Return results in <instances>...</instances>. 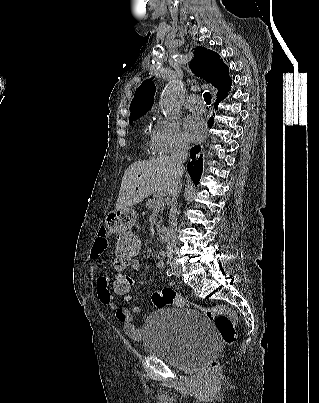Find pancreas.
I'll use <instances>...</instances> for the list:
<instances>
[{"mask_svg": "<svg viewBox=\"0 0 319 403\" xmlns=\"http://www.w3.org/2000/svg\"><path fill=\"white\" fill-rule=\"evenodd\" d=\"M159 200L160 199H149L147 201V203H146V207L148 209H150V210H153V212H155V213L162 214L163 210H164V201L162 202L161 205H158L157 203H158ZM159 219L160 220L157 222V227L158 228L161 226V223H162V216L161 215H159Z\"/></svg>", "mask_w": 319, "mask_h": 403, "instance_id": "cf45deb5", "label": "pancreas"}]
</instances>
